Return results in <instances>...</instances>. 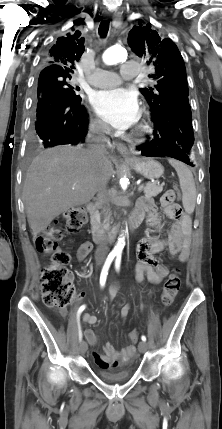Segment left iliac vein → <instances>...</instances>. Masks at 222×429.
I'll list each match as a JSON object with an SVG mask.
<instances>
[{"label":"left iliac vein","mask_w":222,"mask_h":429,"mask_svg":"<svg viewBox=\"0 0 222 429\" xmlns=\"http://www.w3.org/2000/svg\"><path fill=\"white\" fill-rule=\"evenodd\" d=\"M147 348H148V345H147V343L145 341L139 342V344H138V350L141 353H144L147 350Z\"/></svg>","instance_id":"1"}]
</instances>
